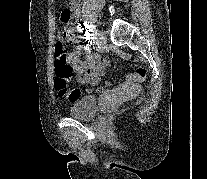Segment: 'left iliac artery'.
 Segmentation results:
<instances>
[{
    "mask_svg": "<svg viewBox=\"0 0 207 179\" xmlns=\"http://www.w3.org/2000/svg\"><path fill=\"white\" fill-rule=\"evenodd\" d=\"M89 28H90V31H92L91 32V35L93 36V39H97V33H98V30L97 29H95V26L94 25H91V26H89Z\"/></svg>",
    "mask_w": 207,
    "mask_h": 179,
    "instance_id": "44dca946",
    "label": "left iliac artery"
}]
</instances>
